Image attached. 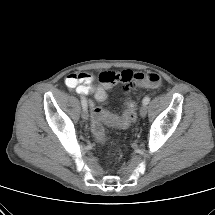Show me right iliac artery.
Masks as SVG:
<instances>
[{"label":"right iliac artery","mask_w":215,"mask_h":215,"mask_svg":"<svg viewBox=\"0 0 215 215\" xmlns=\"http://www.w3.org/2000/svg\"><path fill=\"white\" fill-rule=\"evenodd\" d=\"M81 104L83 108H87V101L84 97L81 98Z\"/></svg>","instance_id":"1"}]
</instances>
